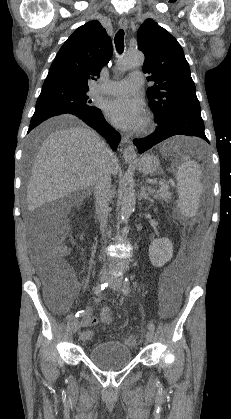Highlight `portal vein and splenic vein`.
Listing matches in <instances>:
<instances>
[{"label":"portal vein and splenic vein","mask_w":231,"mask_h":419,"mask_svg":"<svg viewBox=\"0 0 231 419\" xmlns=\"http://www.w3.org/2000/svg\"><path fill=\"white\" fill-rule=\"evenodd\" d=\"M160 185H161V188H163V189H168L169 188L168 184H164V182H161V181H160Z\"/></svg>","instance_id":"1"}]
</instances>
